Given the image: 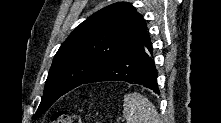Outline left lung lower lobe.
<instances>
[{"instance_id": "1", "label": "left lung lower lobe", "mask_w": 221, "mask_h": 123, "mask_svg": "<svg viewBox=\"0 0 221 123\" xmlns=\"http://www.w3.org/2000/svg\"><path fill=\"white\" fill-rule=\"evenodd\" d=\"M157 70L152 56V44L147 33L132 45L94 72L82 84L101 81L136 83L160 94Z\"/></svg>"}]
</instances>
